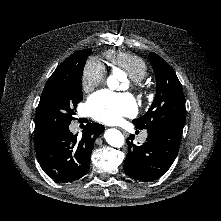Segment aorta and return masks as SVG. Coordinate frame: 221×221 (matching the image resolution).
Masks as SVG:
<instances>
[{
	"label": "aorta",
	"mask_w": 221,
	"mask_h": 221,
	"mask_svg": "<svg viewBox=\"0 0 221 221\" xmlns=\"http://www.w3.org/2000/svg\"><path fill=\"white\" fill-rule=\"evenodd\" d=\"M107 85L111 90L118 88V80L115 76H109L107 79ZM106 142L113 146L120 148L124 144V136L117 129H108L104 134Z\"/></svg>",
	"instance_id": "762f6f07"
}]
</instances>
